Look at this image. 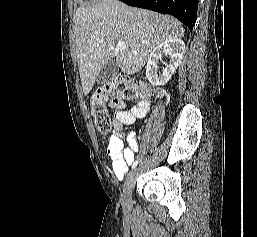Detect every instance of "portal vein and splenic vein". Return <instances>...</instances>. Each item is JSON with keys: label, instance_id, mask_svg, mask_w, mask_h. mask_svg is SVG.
Returning a JSON list of instances; mask_svg holds the SVG:
<instances>
[{"label": "portal vein and splenic vein", "instance_id": "obj_1", "mask_svg": "<svg viewBox=\"0 0 257 237\" xmlns=\"http://www.w3.org/2000/svg\"><path fill=\"white\" fill-rule=\"evenodd\" d=\"M126 48H127V46H126L125 42H123V41H118V43H117V49H119V50H124V49H126Z\"/></svg>", "mask_w": 257, "mask_h": 237}]
</instances>
